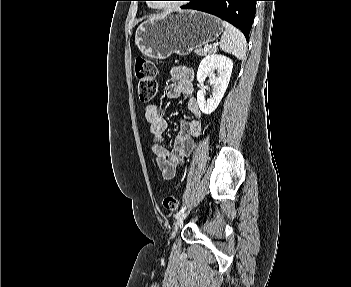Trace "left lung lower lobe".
<instances>
[{"instance_id":"obj_1","label":"left lung lower lobe","mask_w":351,"mask_h":287,"mask_svg":"<svg viewBox=\"0 0 351 287\" xmlns=\"http://www.w3.org/2000/svg\"><path fill=\"white\" fill-rule=\"evenodd\" d=\"M183 9H194L215 15L239 28L248 41L258 0H188Z\"/></svg>"}]
</instances>
